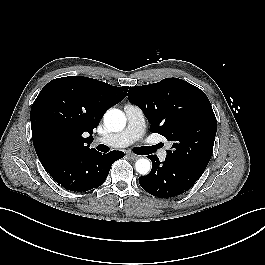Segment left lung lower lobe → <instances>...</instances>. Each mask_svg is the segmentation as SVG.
Wrapping results in <instances>:
<instances>
[{"label":"left lung lower lobe","instance_id":"1","mask_svg":"<svg viewBox=\"0 0 265 265\" xmlns=\"http://www.w3.org/2000/svg\"><path fill=\"white\" fill-rule=\"evenodd\" d=\"M148 157L152 161V170L148 175L139 177V183L153 196L169 198L180 195L188 191L202 175L166 159L160 162L156 155Z\"/></svg>","mask_w":265,"mask_h":265}]
</instances>
